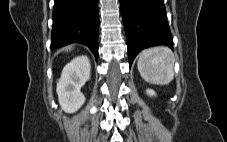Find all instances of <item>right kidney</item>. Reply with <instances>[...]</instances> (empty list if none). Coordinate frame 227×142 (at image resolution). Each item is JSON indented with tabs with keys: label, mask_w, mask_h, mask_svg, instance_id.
Segmentation results:
<instances>
[{
	"label": "right kidney",
	"mask_w": 227,
	"mask_h": 142,
	"mask_svg": "<svg viewBox=\"0 0 227 142\" xmlns=\"http://www.w3.org/2000/svg\"><path fill=\"white\" fill-rule=\"evenodd\" d=\"M90 79V61L87 56H78L62 70L57 83L58 100L67 113L77 111L85 102L81 87Z\"/></svg>",
	"instance_id": "1"
}]
</instances>
